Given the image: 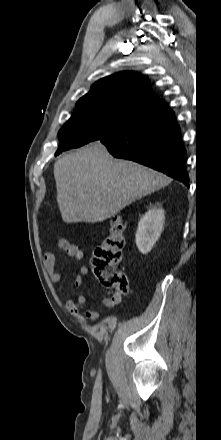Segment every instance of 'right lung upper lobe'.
Here are the masks:
<instances>
[{"label": "right lung upper lobe", "mask_w": 221, "mask_h": 440, "mask_svg": "<svg viewBox=\"0 0 221 440\" xmlns=\"http://www.w3.org/2000/svg\"><path fill=\"white\" fill-rule=\"evenodd\" d=\"M157 100L147 78L136 72H120L98 80L78 102L108 101L136 112Z\"/></svg>", "instance_id": "right-lung-upper-lobe-1"}]
</instances>
